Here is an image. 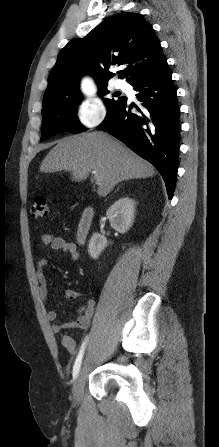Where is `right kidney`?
Masks as SVG:
<instances>
[{
	"label": "right kidney",
	"mask_w": 219,
	"mask_h": 447,
	"mask_svg": "<svg viewBox=\"0 0 219 447\" xmlns=\"http://www.w3.org/2000/svg\"><path fill=\"white\" fill-rule=\"evenodd\" d=\"M106 216L113 229L121 234L126 233L134 222L135 201L128 197L120 198L108 208ZM107 244L108 241L104 235L93 233L88 245L89 255L97 259Z\"/></svg>",
	"instance_id": "ca27d5eb"
}]
</instances>
